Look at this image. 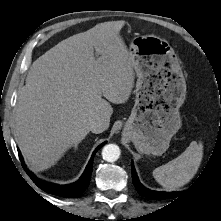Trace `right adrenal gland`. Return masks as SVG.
<instances>
[{"mask_svg":"<svg viewBox=\"0 0 221 221\" xmlns=\"http://www.w3.org/2000/svg\"><path fill=\"white\" fill-rule=\"evenodd\" d=\"M77 147H78V145L76 144V145H75V149H77Z\"/></svg>","mask_w":221,"mask_h":221,"instance_id":"obj_1","label":"right adrenal gland"}]
</instances>
